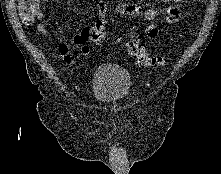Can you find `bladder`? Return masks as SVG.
Segmentation results:
<instances>
[{"mask_svg":"<svg viewBox=\"0 0 221 174\" xmlns=\"http://www.w3.org/2000/svg\"><path fill=\"white\" fill-rule=\"evenodd\" d=\"M131 90L128 71L118 65L104 64L93 76V95L103 104H116L125 99Z\"/></svg>","mask_w":221,"mask_h":174,"instance_id":"bladder-1","label":"bladder"}]
</instances>
